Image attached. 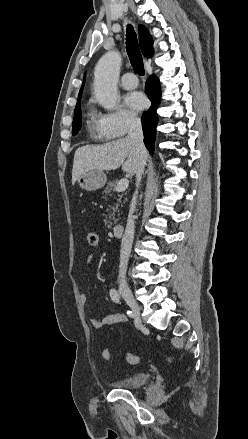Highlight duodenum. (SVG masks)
Instances as JSON below:
<instances>
[{
    "label": "duodenum",
    "mask_w": 248,
    "mask_h": 439,
    "mask_svg": "<svg viewBox=\"0 0 248 439\" xmlns=\"http://www.w3.org/2000/svg\"><path fill=\"white\" fill-rule=\"evenodd\" d=\"M125 230V226L123 223H116L113 226V234L115 236H122Z\"/></svg>",
    "instance_id": "duodenum-1"
}]
</instances>
